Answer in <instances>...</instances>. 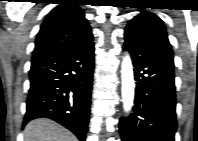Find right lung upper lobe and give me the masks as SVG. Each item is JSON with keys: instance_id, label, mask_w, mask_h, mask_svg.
<instances>
[{"instance_id": "1", "label": "right lung upper lobe", "mask_w": 198, "mask_h": 141, "mask_svg": "<svg viewBox=\"0 0 198 141\" xmlns=\"http://www.w3.org/2000/svg\"><path fill=\"white\" fill-rule=\"evenodd\" d=\"M89 32V23L78 4L60 3L44 20L32 59L68 46Z\"/></svg>"}]
</instances>
